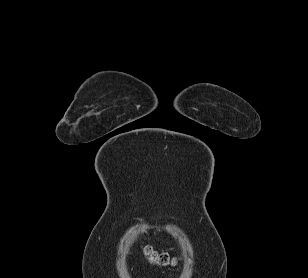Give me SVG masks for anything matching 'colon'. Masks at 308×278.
I'll use <instances>...</instances> for the list:
<instances>
[{"instance_id": "1", "label": "colon", "mask_w": 308, "mask_h": 278, "mask_svg": "<svg viewBox=\"0 0 308 278\" xmlns=\"http://www.w3.org/2000/svg\"><path fill=\"white\" fill-rule=\"evenodd\" d=\"M145 258L152 264L157 266H166L173 263V259L164 252H158L150 246H144L142 248Z\"/></svg>"}]
</instances>
